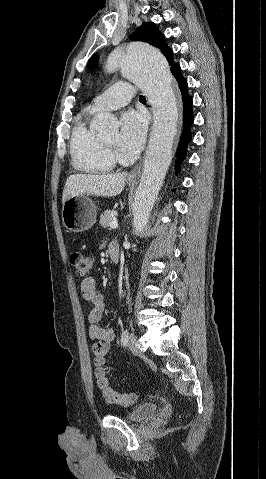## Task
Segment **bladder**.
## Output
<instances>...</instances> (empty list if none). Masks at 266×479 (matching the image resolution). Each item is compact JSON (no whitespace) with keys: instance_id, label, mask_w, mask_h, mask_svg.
<instances>
[{"instance_id":"obj_1","label":"bladder","mask_w":266,"mask_h":479,"mask_svg":"<svg viewBox=\"0 0 266 479\" xmlns=\"http://www.w3.org/2000/svg\"><path fill=\"white\" fill-rule=\"evenodd\" d=\"M157 411V405L154 403H144L135 406L133 409L125 413L124 419L133 422L139 423L147 420L152 417Z\"/></svg>"}]
</instances>
